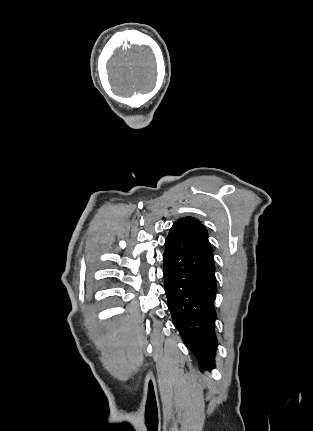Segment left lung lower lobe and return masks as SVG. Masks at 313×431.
I'll use <instances>...</instances> for the list:
<instances>
[{"mask_svg": "<svg viewBox=\"0 0 313 431\" xmlns=\"http://www.w3.org/2000/svg\"><path fill=\"white\" fill-rule=\"evenodd\" d=\"M164 287L173 324L201 369L214 367L217 284L212 249L181 227L165 240Z\"/></svg>", "mask_w": 313, "mask_h": 431, "instance_id": "obj_1", "label": "left lung lower lobe"}]
</instances>
